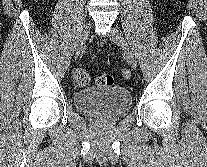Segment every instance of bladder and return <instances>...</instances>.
<instances>
[{"mask_svg":"<svg viewBox=\"0 0 207 167\" xmlns=\"http://www.w3.org/2000/svg\"><path fill=\"white\" fill-rule=\"evenodd\" d=\"M73 101L79 110L90 116L112 118L129 110L132 97L126 88L120 86L89 87L77 90Z\"/></svg>","mask_w":207,"mask_h":167,"instance_id":"bladder-1","label":"bladder"}]
</instances>
